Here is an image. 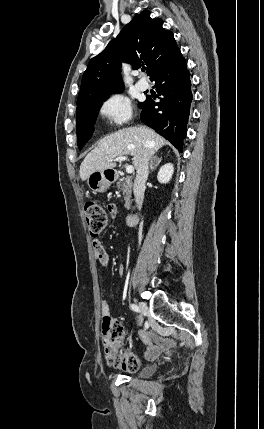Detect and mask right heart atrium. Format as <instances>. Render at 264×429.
<instances>
[{
  "label": "right heart atrium",
  "mask_w": 264,
  "mask_h": 429,
  "mask_svg": "<svg viewBox=\"0 0 264 429\" xmlns=\"http://www.w3.org/2000/svg\"><path fill=\"white\" fill-rule=\"evenodd\" d=\"M99 115L107 127L111 129L121 127L132 118L131 102L122 94H111L101 102Z\"/></svg>",
  "instance_id": "right-heart-atrium-1"
}]
</instances>
